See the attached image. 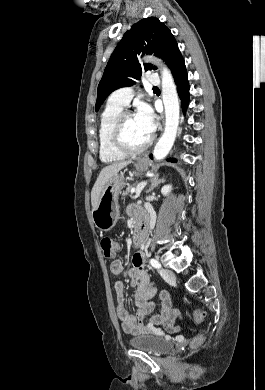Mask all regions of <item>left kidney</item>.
Here are the masks:
<instances>
[{
	"instance_id": "5707ae66",
	"label": "left kidney",
	"mask_w": 265,
	"mask_h": 390,
	"mask_svg": "<svg viewBox=\"0 0 265 390\" xmlns=\"http://www.w3.org/2000/svg\"><path fill=\"white\" fill-rule=\"evenodd\" d=\"M172 190V185L168 184V185H164L161 189V193L162 195L164 196H167Z\"/></svg>"
}]
</instances>
